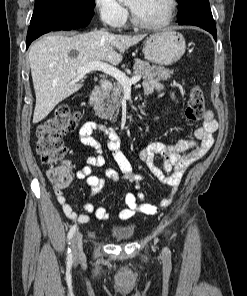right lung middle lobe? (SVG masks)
I'll return each mask as SVG.
<instances>
[{
  "instance_id": "obj_1",
  "label": "right lung middle lobe",
  "mask_w": 247,
  "mask_h": 296,
  "mask_svg": "<svg viewBox=\"0 0 247 296\" xmlns=\"http://www.w3.org/2000/svg\"><path fill=\"white\" fill-rule=\"evenodd\" d=\"M95 0H35L31 20L41 18L54 10L60 9L68 16L78 17L94 13Z\"/></svg>"
}]
</instances>
